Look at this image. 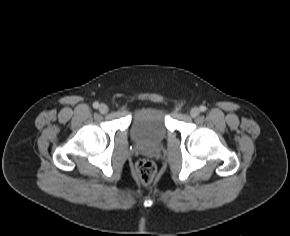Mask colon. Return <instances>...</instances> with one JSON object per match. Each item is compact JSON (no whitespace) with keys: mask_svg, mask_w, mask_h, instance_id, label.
<instances>
[{"mask_svg":"<svg viewBox=\"0 0 290 236\" xmlns=\"http://www.w3.org/2000/svg\"><path fill=\"white\" fill-rule=\"evenodd\" d=\"M156 173V165L153 161L142 159L135 165L136 178L143 184L150 183Z\"/></svg>","mask_w":290,"mask_h":236,"instance_id":"obj_1","label":"colon"}]
</instances>
